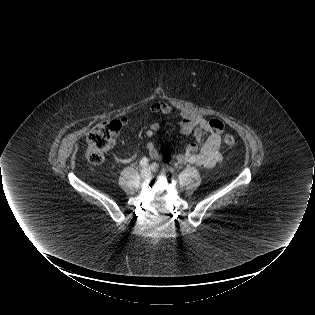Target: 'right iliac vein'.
<instances>
[{"mask_svg":"<svg viewBox=\"0 0 315 315\" xmlns=\"http://www.w3.org/2000/svg\"><path fill=\"white\" fill-rule=\"evenodd\" d=\"M140 174L143 179H148L151 177V170L148 167H143L140 171Z\"/></svg>","mask_w":315,"mask_h":315,"instance_id":"1","label":"right iliac vein"}]
</instances>
